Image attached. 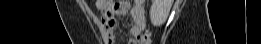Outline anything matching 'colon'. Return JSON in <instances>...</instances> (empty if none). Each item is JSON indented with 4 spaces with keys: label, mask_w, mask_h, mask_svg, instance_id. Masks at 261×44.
I'll return each instance as SVG.
<instances>
[{
    "label": "colon",
    "mask_w": 261,
    "mask_h": 44,
    "mask_svg": "<svg viewBox=\"0 0 261 44\" xmlns=\"http://www.w3.org/2000/svg\"><path fill=\"white\" fill-rule=\"evenodd\" d=\"M98 6H117L119 8L123 6H127V1H112V0H104V1H98ZM137 44H151V31L147 29L145 32H143L139 37L136 38Z\"/></svg>",
    "instance_id": "colon-1"
}]
</instances>
